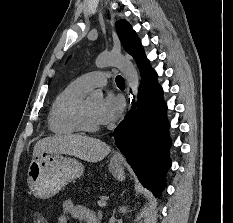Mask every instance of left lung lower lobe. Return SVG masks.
I'll return each mask as SVG.
<instances>
[{
    "label": "left lung lower lobe",
    "instance_id": "left-lung-lower-lobe-1",
    "mask_svg": "<svg viewBox=\"0 0 233 223\" xmlns=\"http://www.w3.org/2000/svg\"><path fill=\"white\" fill-rule=\"evenodd\" d=\"M136 62L142 77L139 109L133 108L126 114L113 136L140 182L159 197L171 165L167 108L162 98V88L156 81L157 74L150 67L144 51Z\"/></svg>",
    "mask_w": 233,
    "mask_h": 223
}]
</instances>
